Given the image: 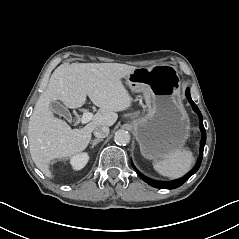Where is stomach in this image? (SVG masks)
<instances>
[{"mask_svg":"<svg viewBox=\"0 0 239 239\" xmlns=\"http://www.w3.org/2000/svg\"><path fill=\"white\" fill-rule=\"evenodd\" d=\"M130 90L142 92L147 115L131 120L143 158L159 162L180 152L189 137L190 122L179 93V77L153 67H141L125 78Z\"/></svg>","mask_w":239,"mask_h":239,"instance_id":"obj_1","label":"stomach"}]
</instances>
